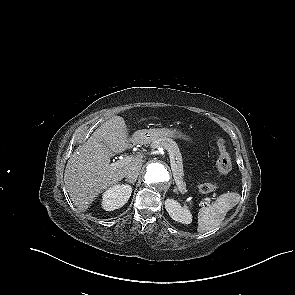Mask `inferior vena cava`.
I'll return each instance as SVG.
<instances>
[{
    "instance_id": "obj_1",
    "label": "inferior vena cava",
    "mask_w": 295,
    "mask_h": 295,
    "mask_svg": "<svg viewBox=\"0 0 295 295\" xmlns=\"http://www.w3.org/2000/svg\"><path fill=\"white\" fill-rule=\"evenodd\" d=\"M140 167L139 166H129L126 168L124 175L130 180H134L139 175Z\"/></svg>"
}]
</instances>
